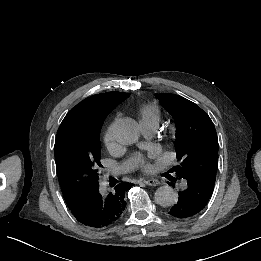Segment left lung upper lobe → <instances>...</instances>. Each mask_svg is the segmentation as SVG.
<instances>
[{
  "instance_id": "5c2ea615",
  "label": "left lung upper lobe",
  "mask_w": 261,
  "mask_h": 261,
  "mask_svg": "<svg viewBox=\"0 0 261 261\" xmlns=\"http://www.w3.org/2000/svg\"><path fill=\"white\" fill-rule=\"evenodd\" d=\"M176 121L175 150L182 160L177 175L191 173L215 182L218 167V138L208 114L188 99L175 94H155Z\"/></svg>"
}]
</instances>
